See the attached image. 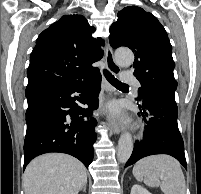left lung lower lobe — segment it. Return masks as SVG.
Segmentation results:
<instances>
[{
  "label": "left lung lower lobe",
  "mask_w": 201,
  "mask_h": 194,
  "mask_svg": "<svg viewBox=\"0 0 201 194\" xmlns=\"http://www.w3.org/2000/svg\"><path fill=\"white\" fill-rule=\"evenodd\" d=\"M139 108L138 114L145 121V138L135 142L125 167L149 155L168 154L187 168L184 143L177 124L175 97L165 93H153L143 100V104H139Z\"/></svg>",
  "instance_id": "0a47b994"
}]
</instances>
